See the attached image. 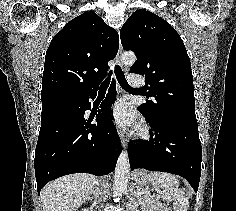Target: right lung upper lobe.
<instances>
[{
	"label": "right lung upper lobe",
	"instance_id": "right-lung-upper-lobe-1",
	"mask_svg": "<svg viewBox=\"0 0 236 211\" xmlns=\"http://www.w3.org/2000/svg\"><path fill=\"white\" fill-rule=\"evenodd\" d=\"M118 47V33L95 12L71 20L53 37L46 52L42 104L96 92Z\"/></svg>",
	"mask_w": 236,
	"mask_h": 211
}]
</instances>
